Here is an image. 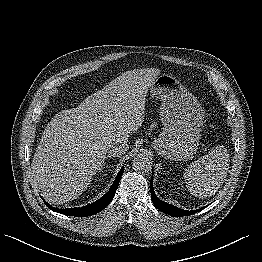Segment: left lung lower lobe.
I'll list each match as a JSON object with an SVG mask.
<instances>
[{"label": "left lung lower lobe", "instance_id": "0a47b994", "mask_svg": "<svg viewBox=\"0 0 262 262\" xmlns=\"http://www.w3.org/2000/svg\"><path fill=\"white\" fill-rule=\"evenodd\" d=\"M150 190H151V199L153 201L154 206L157 209H159L160 211H162V212H164V213H166L170 216H173V217H181V216L192 215L194 213L201 211L205 207H207V206H204V207L197 209V210L187 211V210L180 209V208H178L174 205L168 204V203L160 200L156 196L154 189H153V175H152V178H151V181H150Z\"/></svg>", "mask_w": 262, "mask_h": 262}]
</instances>
